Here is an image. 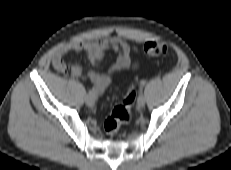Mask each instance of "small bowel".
<instances>
[{"label":"small bowel","mask_w":231,"mask_h":170,"mask_svg":"<svg viewBox=\"0 0 231 170\" xmlns=\"http://www.w3.org/2000/svg\"><path fill=\"white\" fill-rule=\"evenodd\" d=\"M108 50L117 52L118 58L109 68L108 74H100L96 70L100 67ZM71 52H82L88 58L91 69L86 75L78 64L71 65L68 68L64 57ZM134 52L135 48L133 46L115 36L92 41H75L56 50L52 58V66L59 72L68 71L74 78L89 79L93 83L92 91L96 96H100L111 85L114 75L138 68V64L132 60Z\"/></svg>","instance_id":"c3829d8e"}]
</instances>
